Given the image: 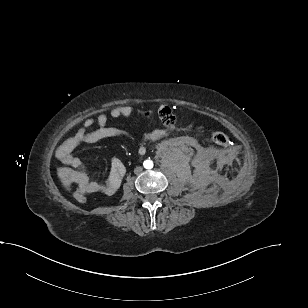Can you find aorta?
<instances>
[{
  "label": "aorta",
  "instance_id": "aorta-1",
  "mask_svg": "<svg viewBox=\"0 0 308 308\" xmlns=\"http://www.w3.org/2000/svg\"><path fill=\"white\" fill-rule=\"evenodd\" d=\"M143 165H144V167H145L146 169H151V168H153V162H152L151 160H146V161H144Z\"/></svg>",
  "mask_w": 308,
  "mask_h": 308
}]
</instances>
